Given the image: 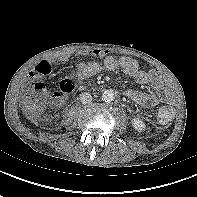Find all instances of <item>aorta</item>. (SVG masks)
<instances>
[{
	"mask_svg": "<svg viewBox=\"0 0 197 197\" xmlns=\"http://www.w3.org/2000/svg\"><path fill=\"white\" fill-rule=\"evenodd\" d=\"M114 92L111 89H107L102 94V100L106 103L114 101Z\"/></svg>",
	"mask_w": 197,
	"mask_h": 197,
	"instance_id": "1",
	"label": "aorta"
}]
</instances>
